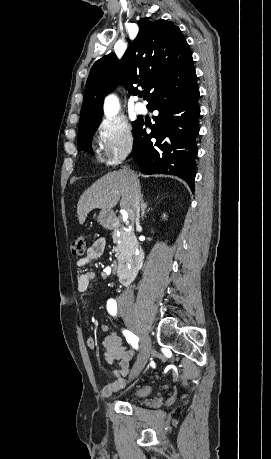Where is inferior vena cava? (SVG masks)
Instances as JSON below:
<instances>
[{
  "label": "inferior vena cava",
  "mask_w": 271,
  "mask_h": 459,
  "mask_svg": "<svg viewBox=\"0 0 271 459\" xmlns=\"http://www.w3.org/2000/svg\"><path fill=\"white\" fill-rule=\"evenodd\" d=\"M140 198H141V194L139 190V184H134V194H133V200H132L133 206H132L131 216L129 220H131V222H135V224H139L140 222V210H141ZM122 297L123 299H125V301H133L134 297H133V289L131 285H129V287H127V289L123 291Z\"/></svg>",
  "instance_id": "inferior-vena-cava-1"
}]
</instances>
